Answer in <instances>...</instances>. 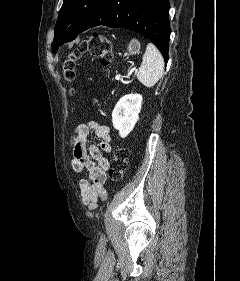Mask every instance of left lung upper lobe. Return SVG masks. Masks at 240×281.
<instances>
[{
    "label": "left lung upper lobe",
    "instance_id": "5c2ea615",
    "mask_svg": "<svg viewBox=\"0 0 240 281\" xmlns=\"http://www.w3.org/2000/svg\"><path fill=\"white\" fill-rule=\"evenodd\" d=\"M103 0H64L55 25L52 50L72 41L95 13Z\"/></svg>",
    "mask_w": 240,
    "mask_h": 281
}]
</instances>
